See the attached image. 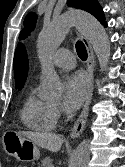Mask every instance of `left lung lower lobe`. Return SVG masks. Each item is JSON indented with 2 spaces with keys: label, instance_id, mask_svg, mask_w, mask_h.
Wrapping results in <instances>:
<instances>
[{
  "label": "left lung lower lobe",
  "instance_id": "obj_1",
  "mask_svg": "<svg viewBox=\"0 0 125 167\" xmlns=\"http://www.w3.org/2000/svg\"><path fill=\"white\" fill-rule=\"evenodd\" d=\"M102 24L106 26V23H105V22H104V23H102Z\"/></svg>",
  "mask_w": 125,
  "mask_h": 167
}]
</instances>
